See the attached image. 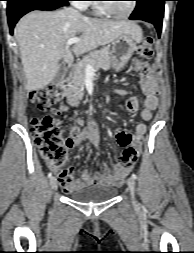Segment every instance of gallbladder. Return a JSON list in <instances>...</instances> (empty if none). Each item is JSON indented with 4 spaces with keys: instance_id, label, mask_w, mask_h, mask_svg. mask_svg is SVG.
Masks as SVG:
<instances>
[{
    "instance_id": "obj_1",
    "label": "gallbladder",
    "mask_w": 194,
    "mask_h": 253,
    "mask_svg": "<svg viewBox=\"0 0 194 253\" xmlns=\"http://www.w3.org/2000/svg\"><path fill=\"white\" fill-rule=\"evenodd\" d=\"M64 74H65V65L63 63H61L60 68H59L53 82L54 83H59L62 80Z\"/></svg>"
}]
</instances>
